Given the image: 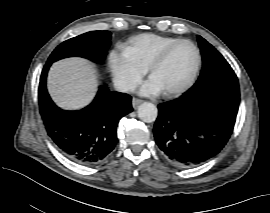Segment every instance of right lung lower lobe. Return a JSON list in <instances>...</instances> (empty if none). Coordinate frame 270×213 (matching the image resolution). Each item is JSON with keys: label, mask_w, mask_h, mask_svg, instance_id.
Returning a JSON list of instances; mask_svg holds the SVG:
<instances>
[{"label": "right lung lower lobe", "mask_w": 270, "mask_h": 213, "mask_svg": "<svg viewBox=\"0 0 270 213\" xmlns=\"http://www.w3.org/2000/svg\"><path fill=\"white\" fill-rule=\"evenodd\" d=\"M52 63H46L39 84V107L48 135L73 161L93 165L116 146L119 120L133 108L131 96L100 87L93 102L79 111H64L51 100L46 77Z\"/></svg>", "instance_id": "98d812e1"}]
</instances>
